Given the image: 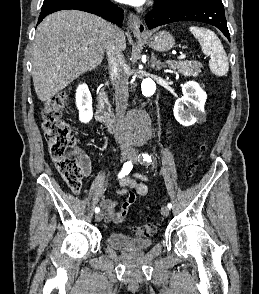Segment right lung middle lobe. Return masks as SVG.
Segmentation results:
<instances>
[{
  "label": "right lung middle lobe",
  "mask_w": 259,
  "mask_h": 294,
  "mask_svg": "<svg viewBox=\"0 0 259 294\" xmlns=\"http://www.w3.org/2000/svg\"><path fill=\"white\" fill-rule=\"evenodd\" d=\"M55 0H44V2H43V6H47V5H49L50 3H52V2H54ZM42 6V7H43Z\"/></svg>",
  "instance_id": "1"
}]
</instances>
